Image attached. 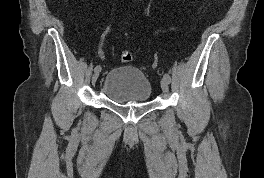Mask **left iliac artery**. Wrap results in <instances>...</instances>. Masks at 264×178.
I'll return each instance as SVG.
<instances>
[{
  "mask_svg": "<svg viewBox=\"0 0 264 178\" xmlns=\"http://www.w3.org/2000/svg\"><path fill=\"white\" fill-rule=\"evenodd\" d=\"M164 78H165L168 82L171 81V77H170V75L167 74V73L164 74Z\"/></svg>",
  "mask_w": 264,
  "mask_h": 178,
  "instance_id": "44dca946",
  "label": "left iliac artery"
}]
</instances>
